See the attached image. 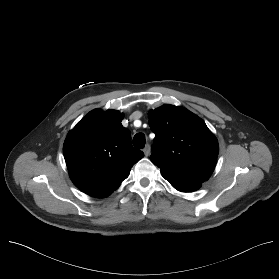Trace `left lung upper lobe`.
<instances>
[{
  "label": "left lung upper lobe",
  "instance_id": "left-lung-upper-lobe-1",
  "mask_svg": "<svg viewBox=\"0 0 279 279\" xmlns=\"http://www.w3.org/2000/svg\"><path fill=\"white\" fill-rule=\"evenodd\" d=\"M156 134L151 161L161 172L203 183L212 174L219 152L205 122L185 108L163 105L148 114Z\"/></svg>",
  "mask_w": 279,
  "mask_h": 279
}]
</instances>
